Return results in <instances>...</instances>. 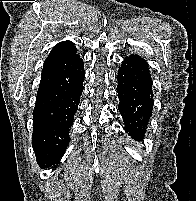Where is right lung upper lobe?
Wrapping results in <instances>:
<instances>
[{
	"mask_svg": "<svg viewBox=\"0 0 196 201\" xmlns=\"http://www.w3.org/2000/svg\"><path fill=\"white\" fill-rule=\"evenodd\" d=\"M76 56L79 57L80 55L77 53L76 47H74L73 42L70 41H63L58 43L50 52L49 57L55 56Z\"/></svg>",
	"mask_w": 196,
	"mask_h": 201,
	"instance_id": "1",
	"label": "right lung upper lobe"
}]
</instances>
